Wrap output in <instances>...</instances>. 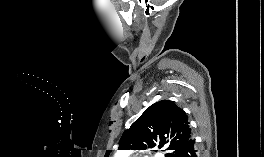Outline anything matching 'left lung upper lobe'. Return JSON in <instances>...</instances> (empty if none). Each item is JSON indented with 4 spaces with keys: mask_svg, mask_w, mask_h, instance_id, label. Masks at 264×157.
Wrapping results in <instances>:
<instances>
[{
    "mask_svg": "<svg viewBox=\"0 0 264 157\" xmlns=\"http://www.w3.org/2000/svg\"><path fill=\"white\" fill-rule=\"evenodd\" d=\"M192 138L186 113L173 101L161 100L148 107L122 135L121 150H145L147 147L170 151L165 157H179L182 147ZM111 150H107L105 157Z\"/></svg>",
    "mask_w": 264,
    "mask_h": 157,
    "instance_id": "1",
    "label": "left lung upper lobe"
}]
</instances>
